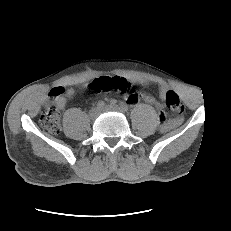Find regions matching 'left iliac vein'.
Here are the masks:
<instances>
[{
  "label": "left iliac vein",
  "mask_w": 231,
  "mask_h": 231,
  "mask_svg": "<svg viewBox=\"0 0 231 231\" xmlns=\"http://www.w3.org/2000/svg\"><path fill=\"white\" fill-rule=\"evenodd\" d=\"M104 111H118V112H124L119 106L117 105H107L104 109Z\"/></svg>",
  "instance_id": "left-iliac-vein-1"
}]
</instances>
